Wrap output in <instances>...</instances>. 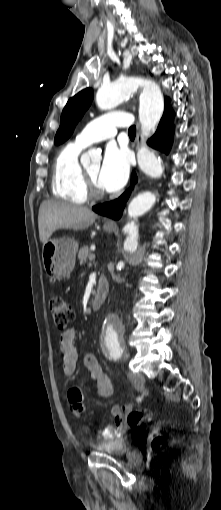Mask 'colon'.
I'll use <instances>...</instances> for the list:
<instances>
[{"label":"colon","instance_id":"colon-1","mask_svg":"<svg viewBox=\"0 0 221 510\" xmlns=\"http://www.w3.org/2000/svg\"><path fill=\"white\" fill-rule=\"evenodd\" d=\"M50 311L56 327L60 330H64L74 319L75 313L72 306L67 303L62 297L55 296L50 300ZM151 415L148 412L134 411L131 410L125 413V421L130 427H137L145 421H150ZM111 429L106 427L101 430V434L104 437L111 435ZM163 443L161 436H157L152 441V447L158 448Z\"/></svg>","mask_w":221,"mask_h":510}]
</instances>
